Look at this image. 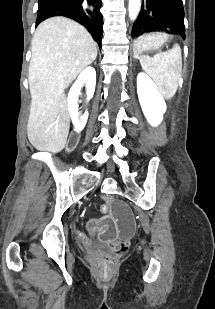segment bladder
<instances>
[{
    "mask_svg": "<svg viewBox=\"0 0 215 309\" xmlns=\"http://www.w3.org/2000/svg\"><path fill=\"white\" fill-rule=\"evenodd\" d=\"M81 251L83 253L91 252L89 249H85V248H82ZM93 252H95V254H99V253H101V254H111L112 251H110V249H108L106 247H96V248H94Z\"/></svg>",
    "mask_w": 215,
    "mask_h": 309,
    "instance_id": "31cf9c89",
    "label": "bladder"
}]
</instances>
